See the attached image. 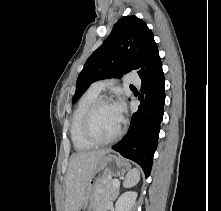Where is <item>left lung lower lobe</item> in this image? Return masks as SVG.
I'll use <instances>...</instances> for the list:
<instances>
[{"label": "left lung lower lobe", "mask_w": 221, "mask_h": 211, "mask_svg": "<svg viewBox=\"0 0 221 211\" xmlns=\"http://www.w3.org/2000/svg\"><path fill=\"white\" fill-rule=\"evenodd\" d=\"M139 76L142 80L141 93L138 97L141 104L132 115L127 135L112 149L138 163L147 178L158 143L165 103V79L158 52L153 55Z\"/></svg>", "instance_id": "left-lung-lower-lobe-1"}]
</instances>
